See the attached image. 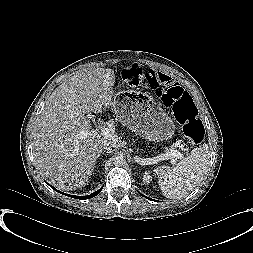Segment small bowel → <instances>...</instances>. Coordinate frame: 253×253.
<instances>
[{"instance_id": "c3829d8e", "label": "small bowel", "mask_w": 253, "mask_h": 253, "mask_svg": "<svg viewBox=\"0 0 253 253\" xmlns=\"http://www.w3.org/2000/svg\"><path fill=\"white\" fill-rule=\"evenodd\" d=\"M173 85H179V84L176 80H174L169 75L150 69L146 72L139 86L159 90V89L167 88Z\"/></svg>"}]
</instances>
